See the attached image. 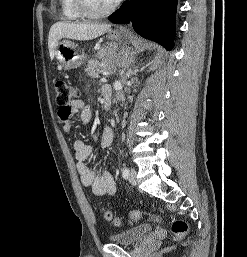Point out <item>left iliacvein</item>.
Listing matches in <instances>:
<instances>
[{"mask_svg": "<svg viewBox=\"0 0 247 257\" xmlns=\"http://www.w3.org/2000/svg\"><path fill=\"white\" fill-rule=\"evenodd\" d=\"M137 172L134 168H131L130 172H129V177L128 180L132 185H136L137 184V178H136Z\"/></svg>", "mask_w": 247, "mask_h": 257, "instance_id": "4c4485c4", "label": "left iliac vein"}]
</instances>
